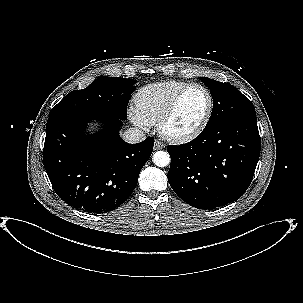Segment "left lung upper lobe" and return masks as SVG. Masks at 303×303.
I'll return each instance as SVG.
<instances>
[{
  "label": "left lung upper lobe",
  "mask_w": 303,
  "mask_h": 303,
  "mask_svg": "<svg viewBox=\"0 0 303 303\" xmlns=\"http://www.w3.org/2000/svg\"><path fill=\"white\" fill-rule=\"evenodd\" d=\"M213 98V111L206 126L223 120L256 114L252 102L229 83H221L210 78H199Z\"/></svg>",
  "instance_id": "1"
}]
</instances>
